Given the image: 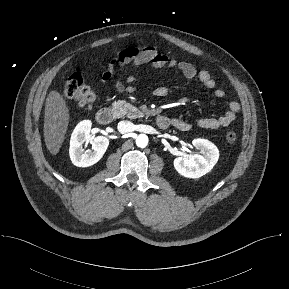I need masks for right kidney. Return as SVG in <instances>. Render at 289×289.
Returning <instances> with one entry per match:
<instances>
[{
	"instance_id": "ca27d5eb",
	"label": "right kidney",
	"mask_w": 289,
	"mask_h": 289,
	"mask_svg": "<svg viewBox=\"0 0 289 289\" xmlns=\"http://www.w3.org/2000/svg\"><path fill=\"white\" fill-rule=\"evenodd\" d=\"M91 126V121H81L71 135L69 155L72 163L77 167H89L97 163L109 145V139L104 136L91 138ZM89 142L92 144V149H84L83 145Z\"/></svg>"
}]
</instances>
